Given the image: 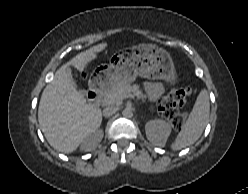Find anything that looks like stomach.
Masks as SVG:
<instances>
[{
    "label": "stomach",
    "instance_id": "stomach-1",
    "mask_svg": "<svg viewBox=\"0 0 248 194\" xmlns=\"http://www.w3.org/2000/svg\"><path fill=\"white\" fill-rule=\"evenodd\" d=\"M106 85L130 84L137 76L148 79H163L173 82L176 79L174 65L168 52L153 44H140L131 52L113 54L104 69Z\"/></svg>",
    "mask_w": 248,
    "mask_h": 194
}]
</instances>
